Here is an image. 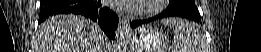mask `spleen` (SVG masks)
I'll return each instance as SVG.
<instances>
[{
    "instance_id": "obj_1",
    "label": "spleen",
    "mask_w": 261,
    "mask_h": 52,
    "mask_svg": "<svg viewBox=\"0 0 261 52\" xmlns=\"http://www.w3.org/2000/svg\"><path fill=\"white\" fill-rule=\"evenodd\" d=\"M163 24H170L174 30V38L177 41V44L172 49V52H202L200 50L199 30L195 25L187 20L179 18L164 20Z\"/></svg>"
}]
</instances>
